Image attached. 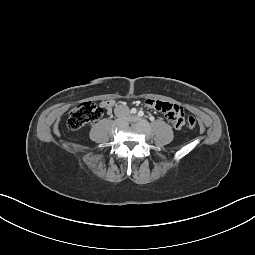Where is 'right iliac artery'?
<instances>
[{"mask_svg": "<svg viewBox=\"0 0 255 255\" xmlns=\"http://www.w3.org/2000/svg\"><path fill=\"white\" fill-rule=\"evenodd\" d=\"M136 112H137L136 108H132V109H131V113H132V114H135Z\"/></svg>", "mask_w": 255, "mask_h": 255, "instance_id": "right-iliac-artery-1", "label": "right iliac artery"}]
</instances>
